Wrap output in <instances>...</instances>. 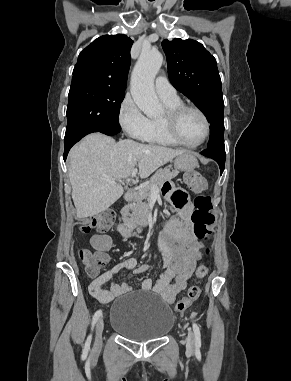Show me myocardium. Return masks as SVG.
I'll return each instance as SVG.
<instances>
[{
  "instance_id": "1",
  "label": "myocardium",
  "mask_w": 291,
  "mask_h": 381,
  "mask_svg": "<svg viewBox=\"0 0 291 381\" xmlns=\"http://www.w3.org/2000/svg\"><path fill=\"white\" fill-rule=\"evenodd\" d=\"M187 111H194L198 113L203 119L205 125V131L202 139L194 144L185 142L179 135L178 132V121L180 117ZM161 121L167 135L178 145L188 147V148H197L201 146L208 138L210 134V122L207 115L198 107L193 105L181 104L173 108H168L164 115L161 117Z\"/></svg>"
}]
</instances>
